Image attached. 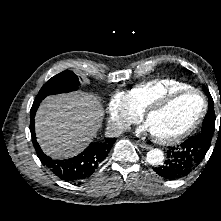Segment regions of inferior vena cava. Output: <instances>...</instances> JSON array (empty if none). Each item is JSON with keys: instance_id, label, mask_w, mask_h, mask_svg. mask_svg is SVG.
Segmentation results:
<instances>
[{"instance_id": "inferior-vena-cava-1", "label": "inferior vena cava", "mask_w": 221, "mask_h": 221, "mask_svg": "<svg viewBox=\"0 0 221 221\" xmlns=\"http://www.w3.org/2000/svg\"><path fill=\"white\" fill-rule=\"evenodd\" d=\"M123 128L121 126H108L105 132L107 137H118L122 134Z\"/></svg>"}]
</instances>
